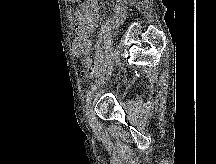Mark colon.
<instances>
[{
  "label": "colon",
  "instance_id": "colon-1",
  "mask_svg": "<svg viewBox=\"0 0 216 164\" xmlns=\"http://www.w3.org/2000/svg\"><path fill=\"white\" fill-rule=\"evenodd\" d=\"M81 75L83 78L91 80L95 75L93 66H86L85 69L82 70Z\"/></svg>",
  "mask_w": 216,
  "mask_h": 164
}]
</instances>
